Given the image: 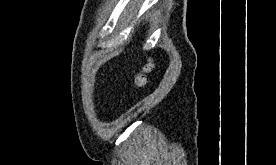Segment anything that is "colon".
Returning a JSON list of instances; mask_svg holds the SVG:
<instances>
[{
	"mask_svg": "<svg viewBox=\"0 0 276 165\" xmlns=\"http://www.w3.org/2000/svg\"><path fill=\"white\" fill-rule=\"evenodd\" d=\"M152 69V62L148 60L139 71L136 72L134 75V85L137 88L143 87L148 80V74L150 73Z\"/></svg>",
	"mask_w": 276,
	"mask_h": 165,
	"instance_id": "colon-1",
	"label": "colon"
}]
</instances>
